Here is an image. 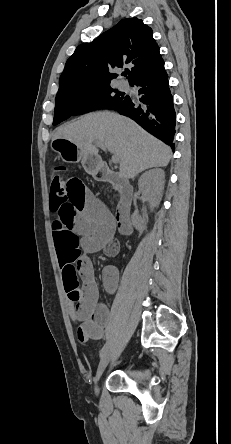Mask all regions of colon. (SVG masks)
Masks as SVG:
<instances>
[{"instance_id":"colon-1","label":"colon","mask_w":231,"mask_h":444,"mask_svg":"<svg viewBox=\"0 0 231 444\" xmlns=\"http://www.w3.org/2000/svg\"><path fill=\"white\" fill-rule=\"evenodd\" d=\"M69 179L70 178L66 176V168L64 166H57L53 169L51 176L52 198L61 200L67 196Z\"/></svg>"}]
</instances>
